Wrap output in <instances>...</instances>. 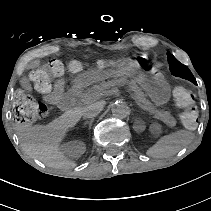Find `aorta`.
<instances>
[{"mask_svg":"<svg viewBox=\"0 0 211 211\" xmlns=\"http://www.w3.org/2000/svg\"><path fill=\"white\" fill-rule=\"evenodd\" d=\"M111 111L113 116L123 119L130 114L129 106L123 101H116L112 104Z\"/></svg>","mask_w":211,"mask_h":211,"instance_id":"762f6f07","label":"aorta"}]
</instances>
